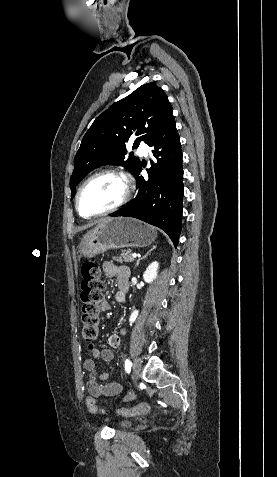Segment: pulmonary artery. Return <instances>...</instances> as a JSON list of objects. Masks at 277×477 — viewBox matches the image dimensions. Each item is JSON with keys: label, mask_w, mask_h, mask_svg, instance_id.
I'll use <instances>...</instances> for the list:
<instances>
[{"label": "pulmonary artery", "mask_w": 277, "mask_h": 477, "mask_svg": "<svg viewBox=\"0 0 277 477\" xmlns=\"http://www.w3.org/2000/svg\"><path fill=\"white\" fill-rule=\"evenodd\" d=\"M139 155L146 156L149 152V147L145 143H141L137 150Z\"/></svg>", "instance_id": "1"}]
</instances>
